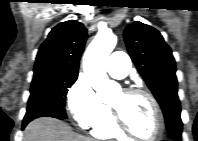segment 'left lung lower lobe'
I'll use <instances>...</instances> for the list:
<instances>
[{"instance_id":"0a47b994","label":"left lung lower lobe","mask_w":198,"mask_h":141,"mask_svg":"<svg viewBox=\"0 0 198 141\" xmlns=\"http://www.w3.org/2000/svg\"><path fill=\"white\" fill-rule=\"evenodd\" d=\"M169 137L175 141H181V134L177 135V134H168Z\"/></svg>"}]
</instances>
